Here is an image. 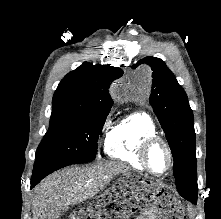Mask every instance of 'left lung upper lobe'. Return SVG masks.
Returning <instances> with one entry per match:
<instances>
[{
  "label": "left lung upper lobe",
  "mask_w": 221,
  "mask_h": 219,
  "mask_svg": "<svg viewBox=\"0 0 221 219\" xmlns=\"http://www.w3.org/2000/svg\"><path fill=\"white\" fill-rule=\"evenodd\" d=\"M141 63H147L153 70L149 101L171 148L177 190L184 198L194 201L198 194L195 131L187 95L161 59L146 57L132 68Z\"/></svg>",
  "instance_id": "obj_1"
}]
</instances>
